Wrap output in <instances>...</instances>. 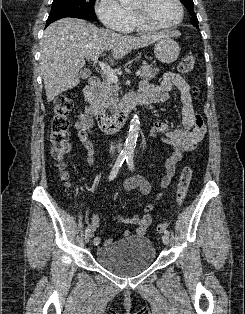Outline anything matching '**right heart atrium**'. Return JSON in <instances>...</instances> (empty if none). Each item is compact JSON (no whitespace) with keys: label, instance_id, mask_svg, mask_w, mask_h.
<instances>
[{"label":"right heart atrium","instance_id":"obj_1","mask_svg":"<svg viewBox=\"0 0 245 314\" xmlns=\"http://www.w3.org/2000/svg\"><path fill=\"white\" fill-rule=\"evenodd\" d=\"M95 12L104 26L123 31L129 21V11L117 0H96Z\"/></svg>","mask_w":245,"mask_h":314}]
</instances>
